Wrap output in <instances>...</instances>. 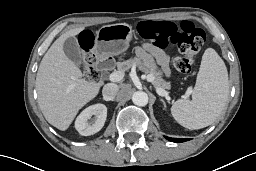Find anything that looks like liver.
Here are the masks:
<instances>
[{
  "instance_id": "obj_1",
  "label": "liver",
  "mask_w": 256,
  "mask_h": 171,
  "mask_svg": "<svg viewBox=\"0 0 256 171\" xmlns=\"http://www.w3.org/2000/svg\"><path fill=\"white\" fill-rule=\"evenodd\" d=\"M84 27L62 34L41 60L36 76L38 104L45 119L59 130L69 128L78 111L99 93L101 83L82 79L80 69L65 55L63 43Z\"/></svg>"
}]
</instances>
